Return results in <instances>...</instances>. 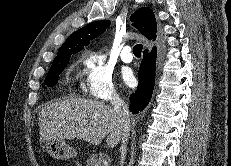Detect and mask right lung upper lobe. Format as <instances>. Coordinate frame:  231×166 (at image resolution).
I'll return each mask as SVG.
<instances>
[{
	"label": "right lung upper lobe",
	"mask_w": 231,
	"mask_h": 166,
	"mask_svg": "<svg viewBox=\"0 0 231 166\" xmlns=\"http://www.w3.org/2000/svg\"><path fill=\"white\" fill-rule=\"evenodd\" d=\"M130 20L144 36L149 40L156 39L157 23L153 11L148 7L138 9L132 14ZM109 20H101L89 23L83 28L72 33L58 50L57 56L72 55L87 46L90 40L97 38L109 26Z\"/></svg>",
	"instance_id": "obj_1"
}]
</instances>
